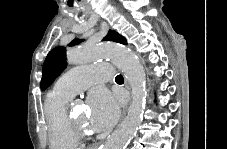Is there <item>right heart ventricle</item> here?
I'll return each mask as SVG.
<instances>
[{
	"instance_id": "obj_1",
	"label": "right heart ventricle",
	"mask_w": 227,
	"mask_h": 149,
	"mask_svg": "<svg viewBox=\"0 0 227 149\" xmlns=\"http://www.w3.org/2000/svg\"><path fill=\"white\" fill-rule=\"evenodd\" d=\"M72 97L50 91L44 101V114L51 149H73L78 145V137L69 129L66 120V106Z\"/></svg>"
}]
</instances>
